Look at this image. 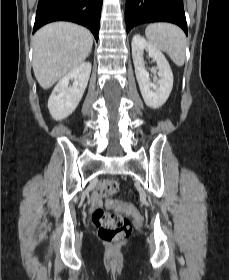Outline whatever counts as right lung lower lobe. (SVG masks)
<instances>
[{
  "label": "right lung lower lobe",
  "instance_id": "98d812e1",
  "mask_svg": "<svg viewBox=\"0 0 229 280\" xmlns=\"http://www.w3.org/2000/svg\"><path fill=\"white\" fill-rule=\"evenodd\" d=\"M102 0H39L33 33L53 21H71L91 30L98 41Z\"/></svg>",
  "mask_w": 229,
  "mask_h": 280
}]
</instances>
